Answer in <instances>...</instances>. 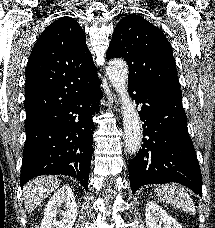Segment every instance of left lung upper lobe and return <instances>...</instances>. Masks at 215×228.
Instances as JSON below:
<instances>
[{"label": "left lung upper lobe", "instance_id": "1", "mask_svg": "<svg viewBox=\"0 0 215 228\" xmlns=\"http://www.w3.org/2000/svg\"><path fill=\"white\" fill-rule=\"evenodd\" d=\"M124 58L129 66V84L180 90L170 44L156 26L137 15H126L114 29L106 58Z\"/></svg>", "mask_w": 215, "mask_h": 228}]
</instances>
